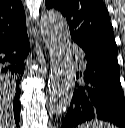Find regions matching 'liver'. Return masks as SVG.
Here are the masks:
<instances>
[{
  "mask_svg": "<svg viewBox=\"0 0 125 128\" xmlns=\"http://www.w3.org/2000/svg\"><path fill=\"white\" fill-rule=\"evenodd\" d=\"M12 94L11 89L0 83V128H15L12 114Z\"/></svg>",
  "mask_w": 125,
  "mask_h": 128,
  "instance_id": "1",
  "label": "liver"
}]
</instances>
